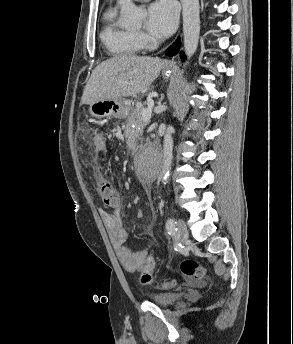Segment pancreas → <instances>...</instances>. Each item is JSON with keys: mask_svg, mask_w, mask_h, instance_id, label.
<instances>
[{"mask_svg": "<svg viewBox=\"0 0 293 344\" xmlns=\"http://www.w3.org/2000/svg\"><path fill=\"white\" fill-rule=\"evenodd\" d=\"M141 111H142V109L132 108L131 112L127 118L128 126H131L134 124V125L140 127V130H136L137 135L141 134L144 127L146 126V123L142 119Z\"/></svg>", "mask_w": 293, "mask_h": 344, "instance_id": "1", "label": "pancreas"}]
</instances>
